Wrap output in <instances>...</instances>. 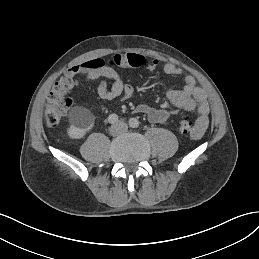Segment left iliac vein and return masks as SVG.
Returning <instances> with one entry per match:
<instances>
[{
  "label": "left iliac vein",
  "mask_w": 259,
  "mask_h": 259,
  "mask_svg": "<svg viewBox=\"0 0 259 259\" xmlns=\"http://www.w3.org/2000/svg\"><path fill=\"white\" fill-rule=\"evenodd\" d=\"M117 125L120 127L121 133L127 132L128 126L126 123L120 121Z\"/></svg>",
  "instance_id": "obj_1"
}]
</instances>
